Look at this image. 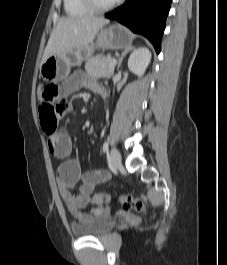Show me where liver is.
Here are the masks:
<instances>
[{"instance_id":"6515ba94","label":"liver","mask_w":227,"mask_h":265,"mask_svg":"<svg viewBox=\"0 0 227 265\" xmlns=\"http://www.w3.org/2000/svg\"><path fill=\"white\" fill-rule=\"evenodd\" d=\"M108 19L94 16L62 17L52 31L41 65L51 56L92 44Z\"/></svg>"}]
</instances>
